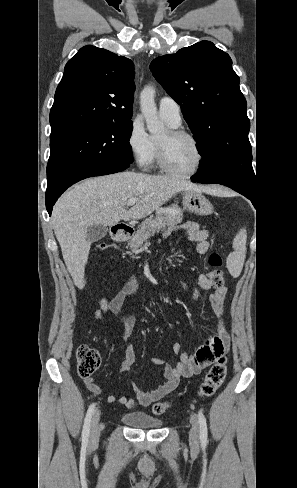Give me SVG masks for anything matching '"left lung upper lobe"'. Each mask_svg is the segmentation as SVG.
<instances>
[{
  "mask_svg": "<svg viewBox=\"0 0 297 488\" xmlns=\"http://www.w3.org/2000/svg\"><path fill=\"white\" fill-rule=\"evenodd\" d=\"M150 70L181 105L202 155L201 179L233 176L255 185L247 102L232 60L212 42L201 41L156 58Z\"/></svg>",
  "mask_w": 297,
  "mask_h": 488,
  "instance_id": "1",
  "label": "left lung upper lobe"
}]
</instances>
